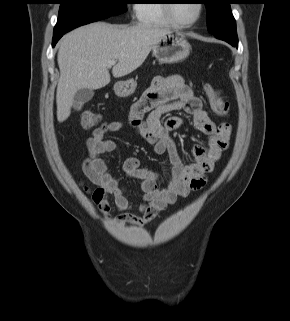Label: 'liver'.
Here are the masks:
<instances>
[{
  "label": "liver",
  "mask_w": 290,
  "mask_h": 321,
  "mask_svg": "<svg viewBox=\"0 0 290 321\" xmlns=\"http://www.w3.org/2000/svg\"><path fill=\"white\" fill-rule=\"evenodd\" d=\"M168 33V29L149 25L127 27L95 22L66 34L57 55V120L61 123L70 116L78 90L100 89L110 83L109 61H117L112 75L124 77L140 67L153 46Z\"/></svg>",
  "instance_id": "liver-1"
}]
</instances>
